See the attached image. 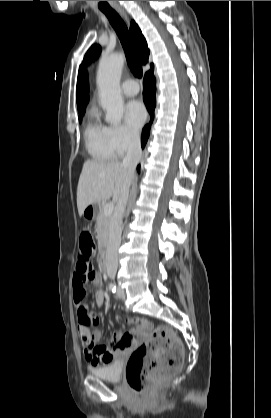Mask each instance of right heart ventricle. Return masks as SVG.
<instances>
[{
	"mask_svg": "<svg viewBox=\"0 0 271 418\" xmlns=\"http://www.w3.org/2000/svg\"><path fill=\"white\" fill-rule=\"evenodd\" d=\"M84 141L88 153L96 160H113L117 156L110 143L109 127L100 121L94 110L88 116L84 129Z\"/></svg>",
	"mask_w": 271,
	"mask_h": 418,
	"instance_id": "1",
	"label": "right heart ventricle"
}]
</instances>
